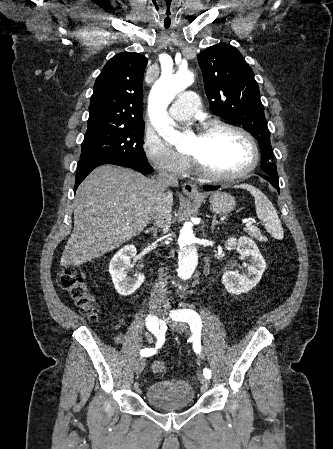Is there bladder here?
<instances>
[{
    "label": "bladder",
    "mask_w": 333,
    "mask_h": 449,
    "mask_svg": "<svg viewBox=\"0 0 333 449\" xmlns=\"http://www.w3.org/2000/svg\"><path fill=\"white\" fill-rule=\"evenodd\" d=\"M195 391L191 384L181 380L151 383L146 390V400L151 406L170 409L193 405Z\"/></svg>",
    "instance_id": "bladder-1"
}]
</instances>
